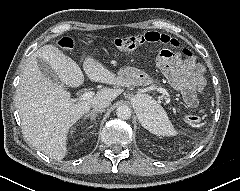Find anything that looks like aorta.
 I'll use <instances>...</instances> for the list:
<instances>
[{"instance_id": "aorta-1", "label": "aorta", "mask_w": 240, "mask_h": 191, "mask_svg": "<svg viewBox=\"0 0 240 191\" xmlns=\"http://www.w3.org/2000/svg\"><path fill=\"white\" fill-rule=\"evenodd\" d=\"M139 100L143 101V105H145V107L150 105L149 101L145 97H142ZM131 113H132V111L129 108V106H127V105H120L116 109L117 117L122 119V120L130 119Z\"/></svg>"}]
</instances>
